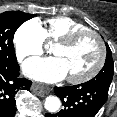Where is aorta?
<instances>
[{"instance_id": "aorta-1", "label": "aorta", "mask_w": 117, "mask_h": 117, "mask_svg": "<svg viewBox=\"0 0 117 117\" xmlns=\"http://www.w3.org/2000/svg\"><path fill=\"white\" fill-rule=\"evenodd\" d=\"M61 106V101L58 97L56 96H48L45 99L44 107L47 111L51 113H55L59 110Z\"/></svg>"}]
</instances>
